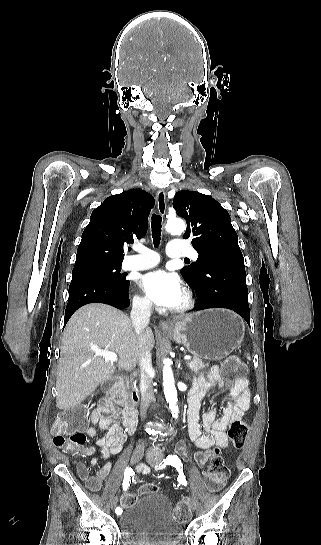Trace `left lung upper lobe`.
<instances>
[{
  "label": "left lung upper lobe",
  "mask_w": 321,
  "mask_h": 545,
  "mask_svg": "<svg viewBox=\"0 0 321 545\" xmlns=\"http://www.w3.org/2000/svg\"><path fill=\"white\" fill-rule=\"evenodd\" d=\"M173 207L188 225L183 238L192 239L199 254L196 262L180 271L187 282L196 281L203 266L216 254L241 252L227 210L211 196L179 191L174 196Z\"/></svg>",
  "instance_id": "obj_1"
}]
</instances>
